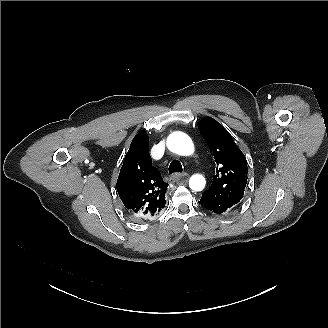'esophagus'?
<instances>
[{
	"mask_svg": "<svg viewBox=\"0 0 328 328\" xmlns=\"http://www.w3.org/2000/svg\"><path fill=\"white\" fill-rule=\"evenodd\" d=\"M188 174L187 173H173L170 178L171 179H179V178H182V177H185L187 176Z\"/></svg>",
	"mask_w": 328,
	"mask_h": 328,
	"instance_id": "34e87169",
	"label": "esophagus"
}]
</instances>
